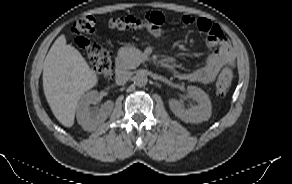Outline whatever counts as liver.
Listing matches in <instances>:
<instances>
[{
    "label": "liver",
    "mask_w": 292,
    "mask_h": 184,
    "mask_svg": "<svg viewBox=\"0 0 292 184\" xmlns=\"http://www.w3.org/2000/svg\"><path fill=\"white\" fill-rule=\"evenodd\" d=\"M98 78L81 53L59 36L43 63V89L46 100L65 127L74 124L75 111L81 96L94 87Z\"/></svg>",
    "instance_id": "obj_1"
}]
</instances>
